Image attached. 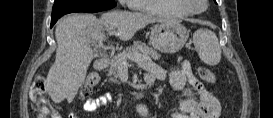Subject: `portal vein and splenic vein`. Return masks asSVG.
I'll list each match as a JSON object with an SVG mask.
<instances>
[{
    "label": "portal vein and splenic vein",
    "mask_w": 273,
    "mask_h": 118,
    "mask_svg": "<svg viewBox=\"0 0 273 118\" xmlns=\"http://www.w3.org/2000/svg\"><path fill=\"white\" fill-rule=\"evenodd\" d=\"M114 32H110V34H113ZM98 46L101 45L102 42H98ZM127 59H130L138 64H143L147 59H149L148 57L141 55L139 53H131L127 55ZM123 66L127 67V63H123Z\"/></svg>",
    "instance_id": "18ae733b"
}]
</instances>
